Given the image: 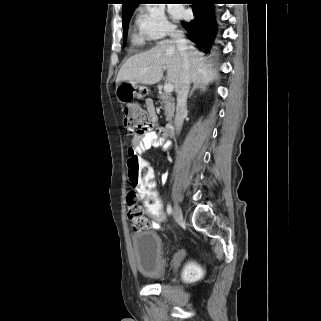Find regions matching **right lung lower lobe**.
Returning a JSON list of instances; mask_svg holds the SVG:
<instances>
[{
	"label": "right lung lower lobe",
	"mask_w": 321,
	"mask_h": 321,
	"mask_svg": "<svg viewBox=\"0 0 321 321\" xmlns=\"http://www.w3.org/2000/svg\"><path fill=\"white\" fill-rule=\"evenodd\" d=\"M193 4L194 19L181 22L188 32V38L196 43L204 52L212 49L216 36V21L213 4L217 0H190Z\"/></svg>",
	"instance_id": "98d812e1"
}]
</instances>
